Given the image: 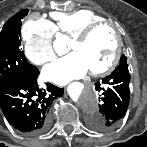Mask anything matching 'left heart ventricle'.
Masks as SVG:
<instances>
[{
	"instance_id": "b2bd125f",
	"label": "left heart ventricle",
	"mask_w": 147,
	"mask_h": 147,
	"mask_svg": "<svg viewBox=\"0 0 147 147\" xmlns=\"http://www.w3.org/2000/svg\"><path fill=\"white\" fill-rule=\"evenodd\" d=\"M73 52L79 53L89 71L100 70L112 59L116 48V36L112 29L101 28L82 43H71Z\"/></svg>"
}]
</instances>
